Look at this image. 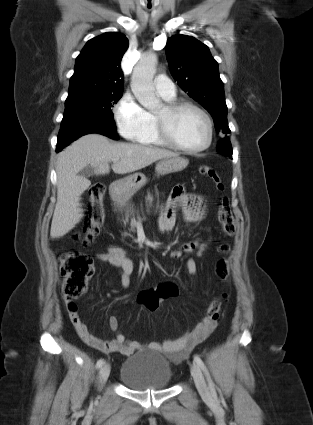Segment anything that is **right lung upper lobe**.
<instances>
[{
  "instance_id": "right-lung-upper-lobe-1",
  "label": "right lung upper lobe",
  "mask_w": 313,
  "mask_h": 425,
  "mask_svg": "<svg viewBox=\"0 0 313 425\" xmlns=\"http://www.w3.org/2000/svg\"><path fill=\"white\" fill-rule=\"evenodd\" d=\"M128 46V39L119 32L89 40L76 58L69 94L123 91L120 63Z\"/></svg>"
}]
</instances>
